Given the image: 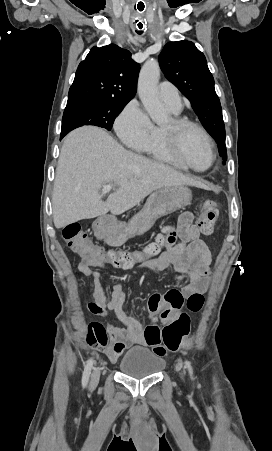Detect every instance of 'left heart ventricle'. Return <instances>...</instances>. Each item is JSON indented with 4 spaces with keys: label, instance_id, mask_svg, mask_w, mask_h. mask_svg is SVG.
Wrapping results in <instances>:
<instances>
[{
    "label": "left heart ventricle",
    "instance_id": "left-heart-ventricle-1",
    "mask_svg": "<svg viewBox=\"0 0 272 451\" xmlns=\"http://www.w3.org/2000/svg\"><path fill=\"white\" fill-rule=\"evenodd\" d=\"M171 127V120L165 125ZM183 162L191 169L202 171L211 162V154L201 135L195 130H185L182 133Z\"/></svg>",
    "mask_w": 272,
    "mask_h": 451
}]
</instances>
